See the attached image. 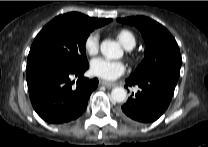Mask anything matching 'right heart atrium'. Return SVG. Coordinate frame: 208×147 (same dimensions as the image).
<instances>
[{
  "mask_svg": "<svg viewBox=\"0 0 208 147\" xmlns=\"http://www.w3.org/2000/svg\"><path fill=\"white\" fill-rule=\"evenodd\" d=\"M100 38L99 34L96 32L90 33L84 42L85 51L89 55H95L99 50Z\"/></svg>",
  "mask_w": 208,
  "mask_h": 147,
  "instance_id": "right-heart-atrium-1",
  "label": "right heart atrium"
}]
</instances>
